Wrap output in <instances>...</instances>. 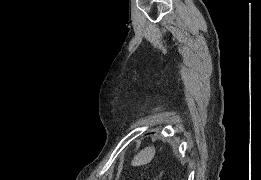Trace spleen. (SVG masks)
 Returning a JSON list of instances; mask_svg holds the SVG:
<instances>
[{"mask_svg":"<svg viewBox=\"0 0 261 180\" xmlns=\"http://www.w3.org/2000/svg\"><path fill=\"white\" fill-rule=\"evenodd\" d=\"M154 156H155L154 146H150V148H144V150H141L139 154H136V156H134L131 162V166H145V164H150Z\"/></svg>","mask_w":261,"mask_h":180,"instance_id":"spleen-1","label":"spleen"}]
</instances>
